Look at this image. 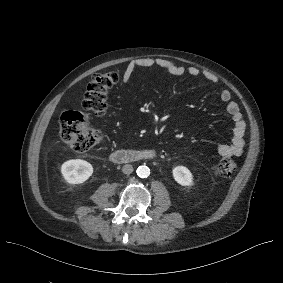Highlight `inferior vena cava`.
Here are the masks:
<instances>
[{
    "label": "inferior vena cava",
    "mask_w": 283,
    "mask_h": 283,
    "mask_svg": "<svg viewBox=\"0 0 283 283\" xmlns=\"http://www.w3.org/2000/svg\"><path fill=\"white\" fill-rule=\"evenodd\" d=\"M122 172L124 174H131L133 172V166L130 164H126L122 167Z\"/></svg>",
    "instance_id": "602c4592"
}]
</instances>
